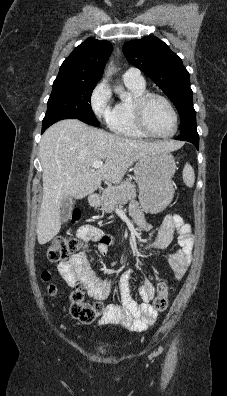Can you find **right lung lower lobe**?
Segmentation results:
<instances>
[{"label":"right lung lower lobe","instance_id":"obj_1","mask_svg":"<svg viewBox=\"0 0 227 396\" xmlns=\"http://www.w3.org/2000/svg\"><path fill=\"white\" fill-rule=\"evenodd\" d=\"M70 118L67 115H63V116H56V117H52L49 119H43V125H42V133L52 124H54L55 122L62 120V119H68Z\"/></svg>","mask_w":227,"mask_h":396}]
</instances>
